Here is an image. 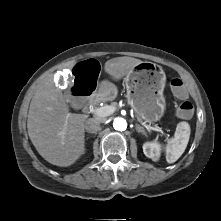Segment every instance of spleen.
<instances>
[{
	"mask_svg": "<svg viewBox=\"0 0 221 221\" xmlns=\"http://www.w3.org/2000/svg\"><path fill=\"white\" fill-rule=\"evenodd\" d=\"M190 137V126L187 122L177 124L174 138L166 146V160L168 163L176 162L184 153Z\"/></svg>",
	"mask_w": 221,
	"mask_h": 221,
	"instance_id": "3e777b00",
	"label": "spleen"
}]
</instances>
